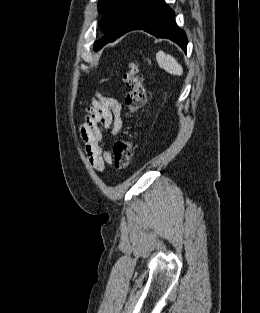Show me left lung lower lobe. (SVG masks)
Returning a JSON list of instances; mask_svg holds the SVG:
<instances>
[{
	"label": "left lung lower lobe",
	"mask_w": 260,
	"mask_h": 313,
	"mask_svg": "<svg viewBox=\"0 0 260 313\" xmlns=\"http://www.w3.org/2000/svg\"><path fill=\"white\" fill-rule=\"evenodd\" d=\"M133 30H144L157 38L170 39L186 52L187 37L185 32L178 28L173 10L163 0H154L138 15L123 34Z\"/></svg>",
	"instance_id": "1"
}]
</instances>
